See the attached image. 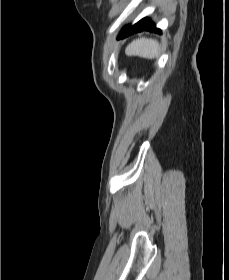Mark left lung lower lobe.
<instances>
[{"instance_id": "0a47b994", "label": "left lung lower lobe", "mask_w": 229, "mask_h": 280, "mask_svg": "<svg viewBox=\"0 0 229 280\" xmlns=\"http://www.w3.org/2000/svg\"><path fill=\"white\" fill-rule=\"evenodd\" d=\"M143 30L151 31V32H158V33L161 32L160 29H157L155 27V24L152 23L150 19L143 18L142 20H140L139 22H137L133 26H125L121 30L118 38L127 37L129 35H132V34L137 33V32H141Z\"/></svg>"}]
</instances>
